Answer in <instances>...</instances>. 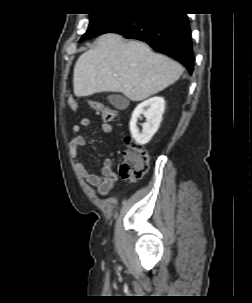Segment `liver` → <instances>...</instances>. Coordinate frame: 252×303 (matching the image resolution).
I'll use <instances>...</instances> for the list:
<instances>
[{"mask_svg":"<svg viewBox=\"0 0 252 303\" xmlns=\"http://www.w3.org/2000/svg\"><path fill=\"white\" fill-rule=\"evenodd\" d=\"M183 71L179 63L152 52L145 43L126 42L108 33L78 58L73 89L77 97L120 92L132 101H142L175 83Z\"/></svg>","mask_w":252,"mask_h":303,"instance_id":"6515ba94","label":"liver"}]
</instances>
